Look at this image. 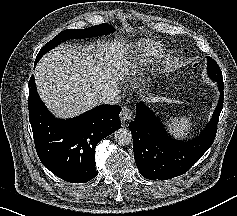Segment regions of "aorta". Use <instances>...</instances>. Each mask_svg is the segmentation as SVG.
Instances as JSON below:
<instances>
[{
  "label": "aorta",
  "mask_w": 237,
  "mask_h": 216,
  "mask_svg": "<svg viewBox=\"0 0 237 216\" xmlns=\"http://www.w3.org/2000/svg\"><path fill=\"white\" fill-rule=\"evenodd\" d=\"M114 140L120 146H126L133 142L132 133L128 128H120L114 132Z\"/></svg>",
  "instance_id": "obj_1"
}]
</instances>
